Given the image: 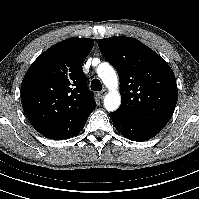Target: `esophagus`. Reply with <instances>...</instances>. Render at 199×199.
Returning a JSON list of instances; mask_svg holds the SVG:
<instances>
[{"label": "esophagus", "mask_w": 199, "mask_h": 199, "mask_svg": "<svg viewBox=\"0 0 199 199\" xmlns=\"http://www.w3.org/2000/svg\"><path fill=\"white\" fill-rule=\"evenodd\" d=\"M107 94V90L104 89L101 92L98 93V96L102 99Z\"/></svg>", "instance_id": "34e87169"}]
</instances>
